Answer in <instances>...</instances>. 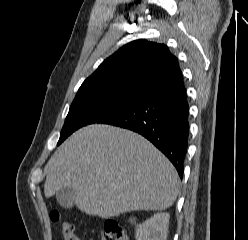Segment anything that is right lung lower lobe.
<instances>
[{
  "label": "right lung lower lobe",
  "mask_w": 248,
  "mask_h": 240,
  "mask_svg": "<svg viewBox=\"0 0 248 240\" xmlns=\"http://www.w3.org/2000/svg\"><path fill=\"white\" fill-rule=\"evenodd\" d=\"M189 106L184 83L140 98L97 123L133 130L152 142L183 176L189 136Z\"/></svg>",
  "instance_id": "right-lung-lower-lobe-1"
}]
</instances>
